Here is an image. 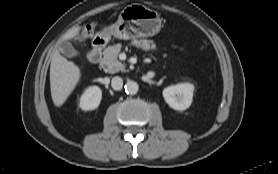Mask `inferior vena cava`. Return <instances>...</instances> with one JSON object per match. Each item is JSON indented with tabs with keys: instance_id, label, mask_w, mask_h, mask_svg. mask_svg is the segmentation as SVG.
I'll return each mask as SVG.
<instances>
[{
	"instance_id": "1",
	"label": "inferior vena cava",
	"mask_w": 278,
	"mask_h": 174,
	"mask_svg": "<svg viewBox=\"0 0 278 174\" xmlns=\"http://www.w3.org/2000/svg\"><path fill=\"white\" fill-rule=\"evenodd\" d=\"M111 86L114 90H121L123 86V79L119 76L112 78Z\"/></svg>"
}]
</instances>
